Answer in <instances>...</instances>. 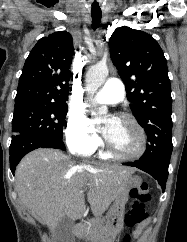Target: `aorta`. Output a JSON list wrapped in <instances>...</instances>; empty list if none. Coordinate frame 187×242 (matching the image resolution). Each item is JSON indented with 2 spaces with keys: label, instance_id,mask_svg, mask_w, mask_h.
Instances as JSON below:
<instances>
[{
  "label": "aorta",
  "instance_id": "aorta-1",
  "mask_svg": "<svg viewBox=\"0 0 187 242\" xmlns=\"http://www.w3.org/2000/svg\"><path fill=\"white\" fill-rule=\"evenodd\" d=\"M108 67L104 63H98L89 68L86 73V91L89 95H94L96 91L103 85L108 76ZM108 108L106 106H101L95 109L92 113L97 119L101 116L106 115Z\"/></svg>",
  "mask_w": 187,
  "mask_h": 242
}]
</instances>
